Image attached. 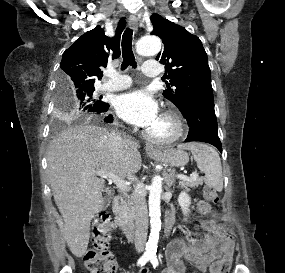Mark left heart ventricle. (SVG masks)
Wrapping results in <instances>:
<instances>
[{"label": "left heart ventricle", "instance_id": "b2bd125f", "mask_svg": "<svg viewBox=\"0 0 285 273\" xmlns=\"http://www.w3.org/2000/svg\"><path fill=\"white\" fill-rule=\"evenodd\" d=\"M173 130L172 124L162 119L161 117L159 120L149 129V131L158 137H165L169 134H171Z\"/></svg>", "mask_w": 285, "mask_h": 273}]
</instances>
